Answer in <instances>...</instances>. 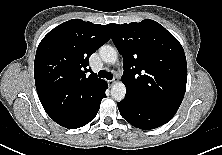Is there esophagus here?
Masks as SVG:
<instances>
[{
  "label": "esophagus",
  "mask_w": 222,
  "mask_h": 155,
  "mask_svg": "<svg viewBox=\"0 0 222 155\" xmlns=\"http://www.w3.org/2000/svg\"><path fill=\"white\" fill-rule=\"evenodd\" d=\"M117 77H114L112 80H110V81H108V82H110V83H115L116 81H117Z\"/></svg>",
  "instance_id": "1"
}]
</instances>
